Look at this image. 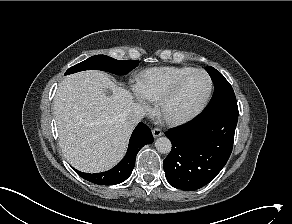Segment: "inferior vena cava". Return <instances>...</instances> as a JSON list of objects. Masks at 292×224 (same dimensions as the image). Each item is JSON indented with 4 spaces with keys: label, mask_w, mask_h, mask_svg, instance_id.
<instances>
[{
    "label": "inferior vena cava",
    "mask_w": 292,
    "mask_h": 224,
    "mask_svg": "<svg viewBox=\"0 0 292 224\" xmlns=\"http://www.w3.org/2000/svg\"><path fill=\"white\" fill-rule=\"evenodd\" d=\"M145 117V111L139 104L133 103L127 111V119L130 124L135 125Z\"/></svg>",
    "instance_id": "602c4592"
}]
</instances>
